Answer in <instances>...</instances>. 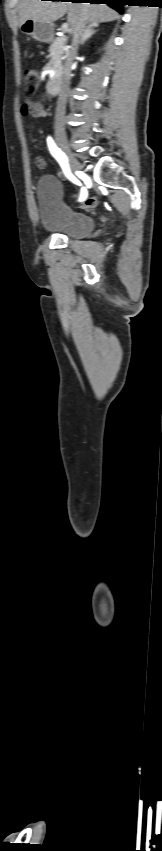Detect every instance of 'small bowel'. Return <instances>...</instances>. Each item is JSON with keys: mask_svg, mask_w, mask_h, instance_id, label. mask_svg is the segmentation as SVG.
I'll return each instance as SVG.
<instances>
[{"mask_svg": "<svg viewBox=\"0 0 162 851\" xmlns=\"http://www.w3.org/2000/svg\"><path fill=\"white\" fill-rule=\"evenodd\" d=\"M45 94L49 93L48 89L44 90ZM22 113L24 115H31L35 118H44L47 115L46 108L43 104L39 102H33L30 100H26L22 106ZM34 164L38 169H44L47 165L45 159L41 156H37L34 159Z\"/></svg>", "mask_w": 162, "mask_h": 851, "instance_id": "c3829d8e", "label": "small bowel"}]
</instances>
